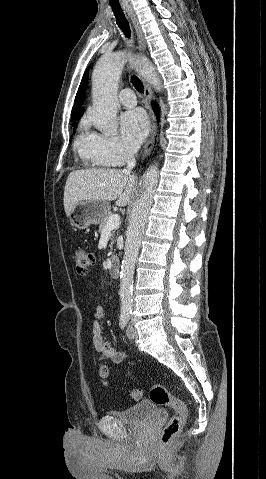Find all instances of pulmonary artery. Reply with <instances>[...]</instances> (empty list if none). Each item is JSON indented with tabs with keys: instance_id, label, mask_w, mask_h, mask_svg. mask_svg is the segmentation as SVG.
Segmentation results:
<instances>
[{
	"instance_id": "e3ab8cb5",
	"label": "pulmonary artery",
	"mask_w": 266,
	"mask_h": 479,
	"mask_svg": "<svg viewBox=\"0 0 266 479\" xmlns=\"http://www.w3.org/2000/svg\"><path fill=\"white\" fill-rule=\"evenodd\" d=\"M119 100L122 105L129 108L134 107L137 103L135 93L130 88H125L121 91L119 95Z\"/></svg>"
}]
</instances>
